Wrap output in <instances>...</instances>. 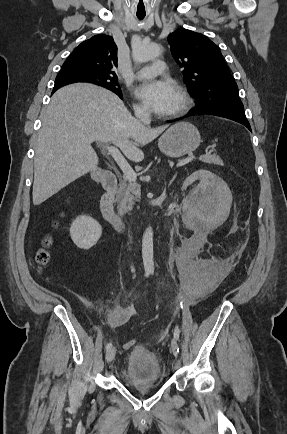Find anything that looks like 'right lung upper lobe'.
I'll return each mask as SVG.
<instances>
[{"label":"right lung upper lobe","mask_w":287,"mask_h":434,"mask_svg":"<svg viewBox=\"0 0 287 434\" xmlns=\"http://www.w3.org/2000/svg\"><path fill=\"white\" fill-rule=\"evenodd\" d=\"M117 46L113 37L98 34L74 49L62 69L78 68L95 73L116 75ZM62 86H54L52 93Z\"/></svg>","instance_id":"1"}]
</instances>
